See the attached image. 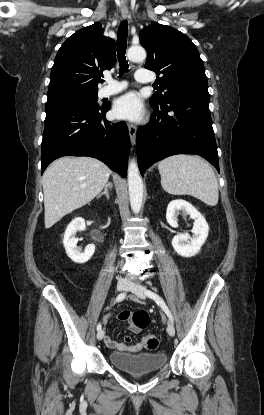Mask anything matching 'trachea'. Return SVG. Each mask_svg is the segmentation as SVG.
<instances>
[{
	"mask_svg": "<svg viewBox=\"0 0 264 415\" xmlns=\"http://www.w3.org/2000/svg\"><path fill=\"white\" fill-rule=\"evenodd\" d=\"M127 34H128V23L124 20L119 28L117 34V58L119 62V74H123L128 71V62L126 60V48H127ZM103 82V80H101Z\"/></svg>",
	"mask_w": 264,
	"mask_h": 415,
	"instance_id": "1",
	"label": "trachea"
}]
</instances>
